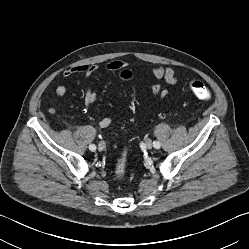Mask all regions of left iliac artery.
Listing matches in <instances>:
<instances>
[{"label":"left iliac artery","mask_w":249,"mask_h":249,"mask_svg":"<svg viewBox=\"0 0 249 249\" xmlns=\"http://www.w3.org/2000/svg\"><path fill=\"white\" fill-rule=\"evenodd\" d=\"M153 146L156 148V149H159L161 147V143L159 141H154L153 142Z\"/></svg>","instance_id":"44dca946"}]
</instances>
